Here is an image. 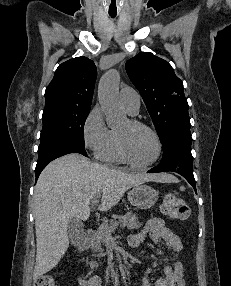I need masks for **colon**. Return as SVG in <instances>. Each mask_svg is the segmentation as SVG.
<instances>
[{"label":"colon","instance_id":"colon-1","mask_svg":"<svg viewBox=\"0 0 231 286\" xmlns=\"http://www.w3.org/2000/svg\"><path fill=\"white\" fill-rule=\"evenodd\" d=\"M163 213L172 219L186 220L190 217V208L185 201L175 194H167L162 203ZM34 286H58L56 279L50 275L39 277Z\"/></svg>","mask_w":231,"mask_h":286}]
</instances>
